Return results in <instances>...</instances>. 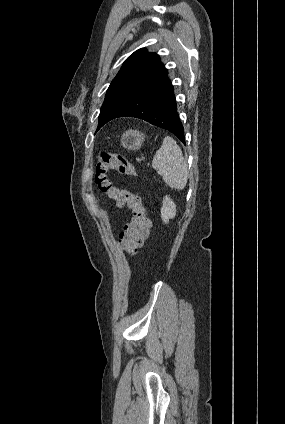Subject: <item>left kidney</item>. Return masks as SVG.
Listing matches in <instances>:
<instances>
[{"label":"left kidney","instance_id":"obj_1","mask_svg":"<svg viewBox=\"0 0 285 424\" xmlns=\"http://www.w3.org/2000/svg\"><path fill=\"white\" fill-rule=\"evenodd\" d=\"M176 215V205L169 196L163 198V206L161 208V218L164 223H168L169 219Z\"/></svg>","mask_w":285,"mask_h":424}]
</instances>
